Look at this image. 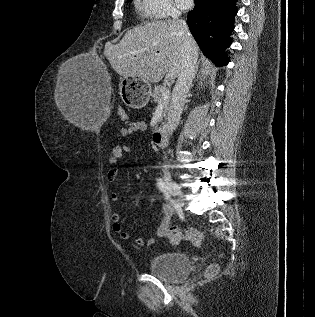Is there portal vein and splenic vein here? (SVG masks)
<instances>
[{
    "instance_id": "portal-vein-and-splenic-vein-1",
    "label": "portal vein and splenic vein",
    "mask_w": 315,
    "mask_h": 317,
    "mask_svg": "<svg viewBox=\"0 0 315 317\" xmlns=\"http://www.w3.org/2000/svg\"><path fill=\"white\" fill-rule=\"evenodd\" d=\"M169 98H170V91L169 90L163 91L162 92V99L167 100Z\"/></svg>"
}]
</instances>
